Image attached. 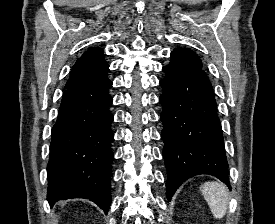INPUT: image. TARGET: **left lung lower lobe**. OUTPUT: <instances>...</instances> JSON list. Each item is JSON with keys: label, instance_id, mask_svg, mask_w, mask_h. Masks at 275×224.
<instances>
[{"label": "left lung lower lobe", "instance_id": "left-lung-lower-lobe-1", "mask_svg": "<svg viewBox=\"0 0 275 224\" xmlns=\"http://www.w3.org/2000/svg\"><path fill=\"white\" fill-rule=\"evenodd\" d=\"M163 71L161 137L168 200L185 180L199 174L215 176L230 187L223 132L208 77L199 71Z\"/></svg>", "mask_w": 275, "mask_h": 224}]
</instances>
